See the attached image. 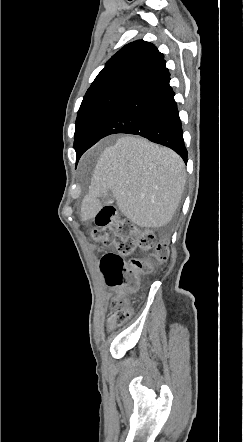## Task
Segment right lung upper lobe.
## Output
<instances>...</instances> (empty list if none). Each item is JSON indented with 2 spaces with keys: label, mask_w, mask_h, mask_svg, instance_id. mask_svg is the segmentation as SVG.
Listing matches in <instances>:
<instances>
[{
  "label": "right lung upper lobe",
  "mask_w": 243,
  "mask_h": 442,
  "mask_svg": "<svg viewBox=\"0 0 243 442\" xmlns=\"http://www.w3.org/2000/svg\"><path fill=\"white\" fill-rule=\"evenodd\" d=\"M162 53L150 42L125 45L105 64L87 90L83 101L109 93H130L168 69Z\"/></svg>",
  "instance_id": "1"
}]
</instances>
